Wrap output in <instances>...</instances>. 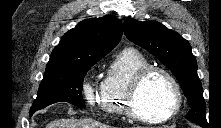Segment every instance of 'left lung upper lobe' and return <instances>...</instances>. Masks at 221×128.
Masks as SVG:
<instances>
[{
	"label": "left lung upper lobe",
	"instance_id": "obj_1",
	"mask_svg": "<svg viewBox=\"0 0 221 128\" xmlns=\"http://www.w3.org/2000/svg\"><path fill=\"white\" fill-rule=\"evenodd\" d=\"M123 26L130 41L153 54L178 79L191 107L186 118L201 126H208L197 63L189 42L157 21L141 22L129 18Z\"/></svg>",
	"mask_w": 221,
	"mask_h": 128
}]
</instances>
